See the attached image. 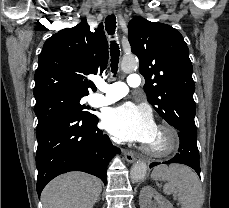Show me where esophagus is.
Returning a JSON list of instances; mask_svg holds the SVG:
<instances>
[{
    "instance_id": "esophagus-1",
    "label": "esophagus",
    "mask_w": 229,
    "mask_h": 208,
    "mask_svg": "<svg viewBox=\"0 0 229 208\" xmlns=\"http://www.w3.org/2000/svg\"><path fill=\"white\" fill-rule=\"evenodd\" d=\"M124 157L128 163H133L136 160V156L131 151H124Z\"/></svg>"
}]
</instances>
